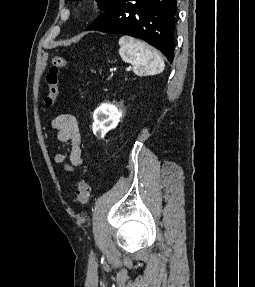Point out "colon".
<instances>
[{
	"instance_id": "colon-1",
	"label": "colon",
	"mask_w": 255,
	"mask_h": 287,
	"mask_svg": "<svg viewBox=\"0 0 255 287\" xmlns=\"http://www.w3.org/2000/svg\"><path fill=\"white\" fill-rule=\"evenodd\" d=\"M67 67V61L63 56L56 55L52 58L51 66L46 75L45 82L48 88L47 95L45 97V103L47 106H52L59 91V72ZM76 196L79 202L86 204L91 197V189L85 179L79 181L76 189Z\"/></svg>"
}]
</instances>
